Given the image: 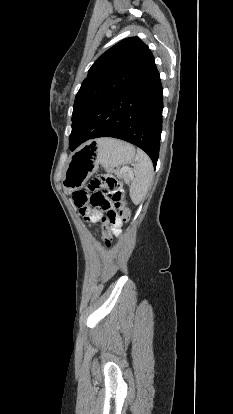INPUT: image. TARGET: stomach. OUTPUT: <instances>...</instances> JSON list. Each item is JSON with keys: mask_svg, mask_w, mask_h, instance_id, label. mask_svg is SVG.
Returning <instances> with one entry per match:
<instances>
[{"mask_svg": "<svg viewBox=\"0 0 233 414\" xmlns=\"http://www.w3.org/2000/svg\"><path fill=\"white\" fill-rule=\"evenodd\" d=\"M135 156V148L124 141L111 138L91 141L71 154L63 187L67 192H72L80 188L97 171L99 165L107 170H114L131 164Z\"/></svg>", "mask_w": 233, "mask_h": 414, "instance_id": "obj_1", "label": "stomach"}]
</instances>
